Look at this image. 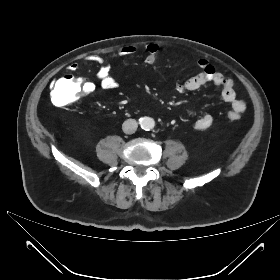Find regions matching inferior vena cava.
Segmentation results:
<instances>
[{
	"mask_svg": "<svg viewBox=\"0 0 280 280\" xmlns=\"http://www.w3.org/2000/svg\"><path fill=\"white\" fill-rule=\"evenodd\" d=\"M138 123L135 119H128L124 121L122 129L126 134H133L137 130Z\"/></svg>",
	"mask_w": 280,
	"mask_h": 280,
	"instance_id": "1",
	"label": "inferior vena cava"
}]
</instances>
